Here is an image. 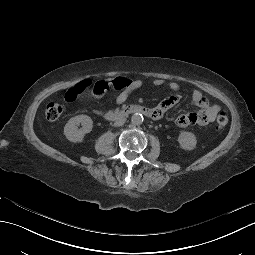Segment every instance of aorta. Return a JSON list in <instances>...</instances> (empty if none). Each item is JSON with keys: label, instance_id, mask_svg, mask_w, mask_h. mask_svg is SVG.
I'll return each instance as SVG.
<instances>
[{"label": "aorta", "instance_id": "1", "mask_svg": "<svg viewBox=\"0 0 255 255\" xmlns=\"http://www.w3.org/2000/svg\"><path fill=\"white\" fill-rule=\"evenodd\" d=\"M131 120L134 125H141L143 123L144 118L142 114L135 113L132 115Z\"/></svg>", "mask_w": 255, "mask_h": 255}]
</instances>
